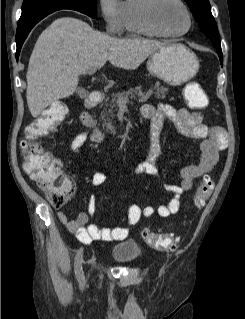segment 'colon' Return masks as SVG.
Returning <instances> with one entry per match:
<instances>
[{
    "instance_id": "1",
    "label": "colon",
    "mask_w": 245,
    "mask_h": 319,
    "mask_svg": "<svg viewBox=\"0 0 245 319\" xmlns=\"http://www.w3.org/2000/svg\"><path fill=\"white\" fill-rule=\"evenodd\" d=\"M184 97L191 109H205L209 104L206 92L195 81H190L185 85ZM67 113L64 105H52L27 127L25 139L20 144L25 172L55 207H62L67 203L74 193L75 183L69 175L63 172L60 160L45 151L36 140L62 124ZM213 185L212 176L204 175L195 194V202L198 207L204 206L212 192ZM141 235L153 248L167 251L176 249V240L172 234L156 233L149 228H143Z\"/></svg>"
}]
</instances>
